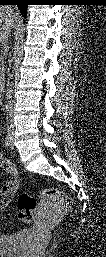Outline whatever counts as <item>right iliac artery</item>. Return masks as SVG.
I'll return each mask as SVG.
<instances>
[{
	"label": "right iliac artery",
	"instance_id": "obj_1",
	"mask_svg": "<svg viewBox=\"0 0 106 257\" xmlns=\"http://www.w3.org/2000/svg\"><path fill=\"white\" fill-rule=\"evenodd\" d=\"M5 146L8 148L11 146V136L10 134H7L6 135V138H5Z\"/></svg>",
	"mask_w": 106,
	"mask_h": 257
}]
</instances>
